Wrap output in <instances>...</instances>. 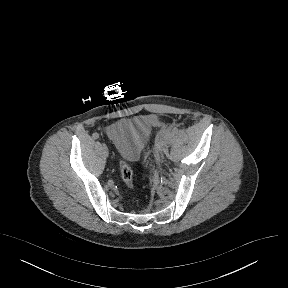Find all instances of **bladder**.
Segmentation results:
<instances>
[{"mask_svg":"<svg viewBox=\"0 0 288 288\" xmlns=\"http://www.w3.org/2000/svg\"><path fill=\"white\" fill-rule=\"evenodd\" d=\"M151 121L146 117H135L120 121L107 130L109 139L119 154L130 161L137 159L151 133Z\"/></svg>","mask_w":288,"mask_h":288,"instance_id":"1","label":"bladder"}]
</instances>
